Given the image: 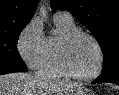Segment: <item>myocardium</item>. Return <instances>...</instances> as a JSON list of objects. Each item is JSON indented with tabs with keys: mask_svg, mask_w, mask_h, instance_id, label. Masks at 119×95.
<instances>
[{
	"mask_svg": "<svg viewBox=\"0 0 119 95\" xmlns=\"http://www.w3.org/2000/svg\"><path fill=\"white\" fill-rule=\"evenodd\" d=\"M79 36H85L92 40V42L95 44L98 54H99V61L96 70L88 75H81L76 73L69 62V49L72 44V42ZM58 58H59V64L62 68V70L65 72V74L71 78L77 79V80H92L97 78L104 66V61H105V55H104V50L99 42V40L91 33L82 30V29H75L67 34H65L59 44V50H58Z\"/></svg>",
	"mask_w": 119,
	"mask_h": 95,
	"instance_id": "obj_1",
	"label": "myocardium"
}]
</instances>
